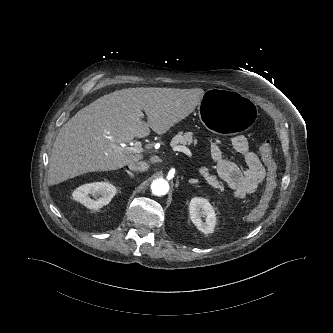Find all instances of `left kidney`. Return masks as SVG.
Segmentation results:
<instances>
[{
	"label": "left kidney",
	"instance_id": "1",
	"mask_svg": "<svg viewBox=\"0 0 333 333\" xmlns=\"http://www.w3.org/2000/svg\"><path fill=\"white\" fill-rule=\"evenodd\" d=\"M189 214L193 224L205 234L212 233L216 225V215L207 199L195 197L189 204ZM202 217L205 221H202Z\"/></svg>",
	"mask_w": 333,
	"mask_h": 333
}]
</instances>
